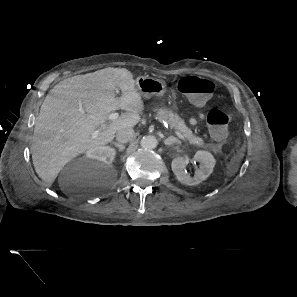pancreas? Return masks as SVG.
<instances>
[{"instance_id": "pancreas-1", "label": "pancreas", "mask_w": 297, "mask_h": 297, "mask_svg": "<svg viewBox=\"0 0 297 297\" xmlns=\"http://www.w3.org/2000/svg\"><path fill=\"white\" fill-rule=\"evenodd\" d=\"M157 116L160 120L166 121L172 129L180 132L190 144L204 149L210 148L208 144H205L202 138L195 136L185 125L184 121L171 110L160 108L157 110Z\"/></svg>"}]
</instances>
